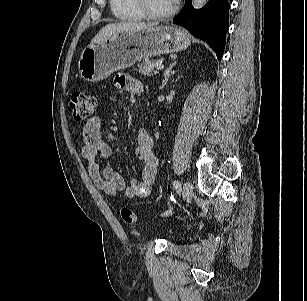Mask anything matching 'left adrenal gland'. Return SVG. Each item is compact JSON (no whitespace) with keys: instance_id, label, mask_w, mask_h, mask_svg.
Returning <instances> with one entry per match:
<instances>
[{"instance_id":"obj_1","label":"left adrenal gland","mask_w":307,"mask_h":301,"mask_svg":"<svg viewBox=\"0 0 307 301\" xmlns=\"http://www.w3.org/2000/svg\"><path fill=\"white\" fill-rule=\"evenodd\" d=\"M176 63L177 62L171 63L170 66L165 70V72H164V80H163V83H162L161 87H164L167 84L170 75L175 73V71H172V69H173L174 65H176Z\"/></svg>"}]
</instances>
